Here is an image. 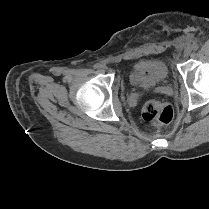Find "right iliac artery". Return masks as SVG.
I'll use <instances>...</instances> for the list:
<instances>
[{
  "label": "right iliac artery",
  "mask_w": 209,
  "mask_h": 209,
  "mask_svg": "<svg viewBox=\"0 0 209 209\" xmlns=\"http://www.w3.org/2000/svg\"><path fill=\"white\" fill-rule=\"evenodd\" d=\"M100 67V65L99 64H95L94 65V68L96 69V68H99Z\"/></svg>",
  "instance_id": "obj_1"
}]
</instances>
